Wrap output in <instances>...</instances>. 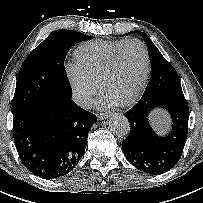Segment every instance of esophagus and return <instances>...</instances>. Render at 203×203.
<instances>
[{
  "label": "esophagus",
  "instance_id": "esophagus-1",
  "mask_svg": "<svg viewBox=\"0 0 203 203\" xmlns=\"http://www.w3.org/2000/svg\"><path fill=\"white\" fill-rule=\"evenodd\" d=\"M110 115L109 114H107V113H100V114H98V120H106V119H108V117H109Z\"/></svg>",
  "mask_w": 203,
  "mask_h": 203
}]
</instances>
